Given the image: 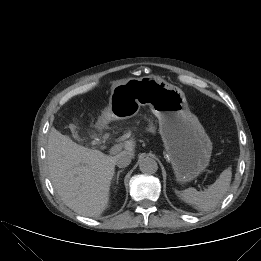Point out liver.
Listing matches in <instances>:
<instances>
[{"instance_id": "1", "label": "liver", "mask_w": 261, "mask_h": 261, "mask_svg": "<svg viewBox=\"0 0 261 261\" xmlns=\"http://www.w3.org/2000/svg\"><path fill=\"white\" fill-rule=\"evenodd\" d=\"M124 148L123 152L134 155L133 142L126 141ZM115 160L116 156L81 146L55 128L50 131L47 144L50 180L62 201L80 215L97 217L108 207Z\"/></svg>"}]
</instances>
